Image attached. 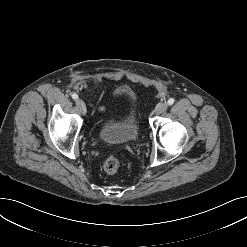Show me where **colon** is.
I'll return each mask as SVG.
<instances>
[{"mask_svg":"<svg viewBox=\"0 0 247 247\" xmlns=\"http://www.w3.org/2000/svg\"><path fill=\"white\" fill-rule=\"evenodd\" d=\"M122 160H123L122 155H120V156H115V155L108 156L103 161L104 171L109 173V174L116 173L121 167Z\"/></svg>","mask_w":247,"mask_h":247,"instance_id":"1","label":"colon"}]
</instances>
